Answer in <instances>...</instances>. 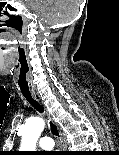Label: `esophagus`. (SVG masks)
<instances>
[{
	"mask_svg": "<svg viewBox=\"0 0 119 155\" xmlns=\"http://www.w3.org/2000/svg\"><path fill=\"white\" fill-rule=\"evenodd\" d=\"M32 95H33V97H34V99H35L36 101H38L42 106H44V102H43L41 96H40L38 93H33ZM44 107H45V106H44ZM45 110H46V109H45ZM46 114H47L48 118L51 120V116H50V114L48 113L47 110H46Z\"/></svg>",
	"mask_w": 119,
	"mask_h": 155,
	"instance_id": "34e87169",
	"label": "esophagus"
}]
</instances>
